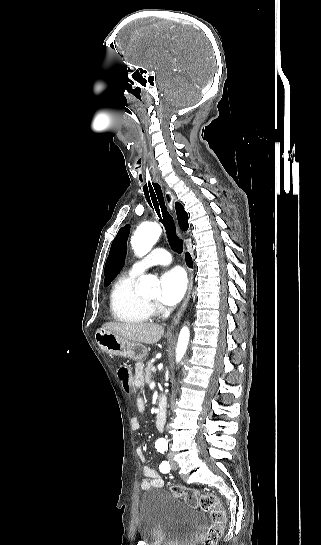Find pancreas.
<instances>
[{
    "label": "pancreas",
    "instance_id": "obj_1",
    "mask_svg": "<svg viewBox=\"0 0 321 545\" xmlns=\"http://www.w3.org/2000/svg\"><path fill=\"white\" fill-rule=\"evenodd\" d=\"M153 369H154L153 363H150V361H148L145 367V383H147V385H149V383H153L152 381V373H154Z\"/></svg>",
    "mask_w": 321,
    "mask_h": 545
}]
</instances>
